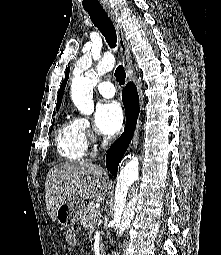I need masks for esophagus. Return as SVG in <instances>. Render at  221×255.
<instances>
[{"label":"esophagus","instance_id":"1","mask_svg":"<svg viewBox=\"0 0 221 255\" xmlns=\"http://www.w3.org/2000/svg\"><path fill=\"white\" fill-rule=\"evenodd\" d=\"M106 12L115 26V29L117 32L118 44H119L120 51H121V54L123 57L127 78L129 80H131L132 79V60H131L129 46L126 43V40L124 37L122 25L120 24L119 20L117 19V15L113 9L106 8Z\"/></svg>","mask_w":221,"mask_h":255}]
</instances>
